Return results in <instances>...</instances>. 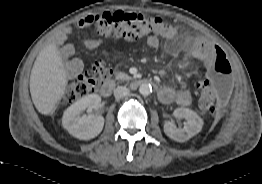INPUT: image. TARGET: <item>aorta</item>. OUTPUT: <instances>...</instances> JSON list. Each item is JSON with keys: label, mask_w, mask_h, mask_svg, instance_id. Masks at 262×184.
Here are the masks:
<instances>
[{"label": "aorta", "mask_w": 262, "mask_h": 184, "mask_svg": "<svg viewBox=\"0 0 262 184\" xmlns=\"http://www.w3.org/2000/svg\"><path fill=\"white\" fill-rule=\"evenodd\" d=\"M139 92L141 95L143 96H148L151 94L152 92V87L150 84H147V83H143L140 85L139 87Z\"/></svg>", "instance_id": "obj_1"}]
</instances>
